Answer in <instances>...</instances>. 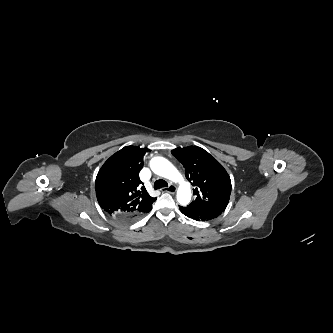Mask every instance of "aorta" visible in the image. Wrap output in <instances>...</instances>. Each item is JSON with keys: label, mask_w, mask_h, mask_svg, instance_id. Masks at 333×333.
Segmentation results:
<instances>
[{"label": "aorta", "mask_w": 333, "mask_h": 333, "mask_svg": "<svg viewBox=\"0 0 333 333\" xmlns=\"http://www.w3.org/2000/svg\"><path fill=\"white\" fill-rule=\"evenodd\" d=\"M150 168L155 174L180 183L177 201L183 206L189 204L191 200L190 184L171 162L163 157H154L150 161Z\"/></svg>", "instance_id": "obj_1"}]
</instances>
